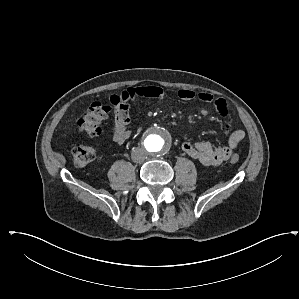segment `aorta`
I'll return each instance as SVG.
<instances>
[{
	"label": "aorta",
	"instance_id": "762f6f07",
	"mask_svg": "<svg viewBox=\"0 0 299 299\" xmlns=\"http://www.w3.org/2000/svg\"><path fill=\"white\" fill-rule=\"evenodd\" d=\"M167 146L168 139L159 131H153L144 140V147L150 155L163 153L167 149Z\"/></svg>",
	"mask_w": 299,
	"mask_h": 299
}]
</instances>
